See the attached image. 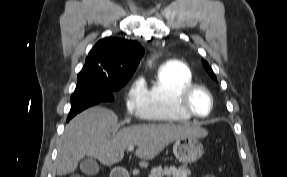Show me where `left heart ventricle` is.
Returning <instances> with one entry per match:
<instances>
[{"mask_svg":"<svg viewBox=\"0 0 287 177\" xmlns=\"http://www.w3.org/2000/svg\"><path fill=\"white\" fill-rule=\"evenodd\" d=\"M191 106L193 110L201 116H205L209 112L210 100L203 91H197L191 98Z\"/></svg>","mask_w":287,"mask_h":177,"instance_id":"obj_1","label":"left heart ventricle"}]
</instances>
